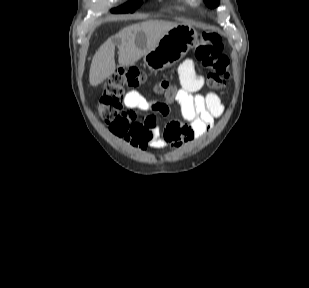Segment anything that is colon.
<instances>
[{"label": "colon", "mask_w": 309, "mask_h": 288, "mask_svg": "<svg viewBox=\"0 0 309 288\" xmlns=\"http://www.w3.org/2000/svg\"><path fill=\"white\" fill-rule=\"evenodd\" d=\"M192 56L196 63L207 71L206 82L210 88L220 90L225 87L230 76L229 62L217 34L203 33L192 50ZM145 81L144 73L137 67L119 68L111 73L105 82L98 105L101 118L111 123L117 120L129 121L132 113L130 109L124 108V90L138 87ZM155 91L169 99L175 97V92L167 82L157 84Z\"/></svg>", "instance_id": "obj_1"}]
</instances>
